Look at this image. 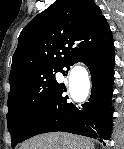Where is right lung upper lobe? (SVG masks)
<instances>
[{"instance_id": "1", "label": "right lung upper lobe", "mask_w": 124, "mask_h": 149, "mask_svg": "<svg viewBox=\"0 0 124 149\" xmlns=\"http://www.w3.org/2000/svg\"><path fill=\"white\" fill-rule=\"evenodd\" d=\"M111 38L107 20L93 0H56L22 30L12 58L10 86L41 70L62 69Z\"/></svg>"}]
</instances>
